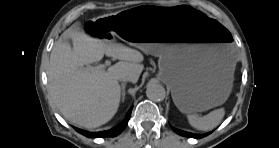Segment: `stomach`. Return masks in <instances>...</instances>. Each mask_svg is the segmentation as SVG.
<instances>
[{
  "instance_id": "obj_1",
  "label": "stomach",
  "mask_w": 279,
  "mask_h": 148,
  "mask_svg": "<svg viewBox=\"0 0 279 148\" xmlns=\"http://www.w3.org/2000/svg\"><path fill=\"white\" fill-rule=\"evenodd\" d=\"M99 19L106 26L94 32L97 38L113 42L118 37L159 57L158 77L170 87L172 99L182 113L206 111L228 98L236 65L235 49L221 25L204 12L188 7L187 13L163 27L131 11ZM162 34L175 42H161L158 38Z\"/></svg>"
}]
</instances>
